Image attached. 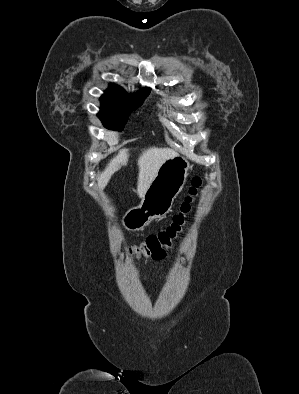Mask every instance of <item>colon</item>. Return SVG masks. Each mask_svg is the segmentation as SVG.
I'll list each match as a JSON object with an SVG mask.
<instances>
[{"label": "colon", "mask_w": 299, "mask_h": 394, "mask_svg": "<svg viewBox=\"0 0 299 394\" xmlns=\"http://www.w3.org/2000/svg\"><path fill=\"white\" fill-rule=\"evenodd\" d=\"M202 184L203 180L201 177H194L188 194L181 204L180 211L174 215L171 223L163 230L153 233L141 242L131 246L129 253L137 257H148L152 259L164 257L166 252L182 234L187 216Z\"/></svg>", "instance_id": "1"}]
</instances>
